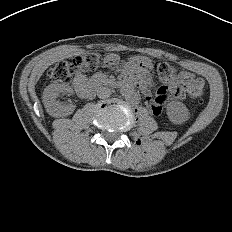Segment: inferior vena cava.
<instances>
[{
  "instance_id": "obj_1",
  "label": "inferior vena cava",
  "mask_w": 232,
  "mask_h": 232,
  "mask_svg": "<svg viewBox=\"0 0 232 232\" xmlns=\"http://www.w3.org/2000/svg\"><path fill=\"white\" fill-rule=\"evenodd\" d=\"M111 95V89L105 86H100L97 88V96L99 98H108Z\"/></svg>"
}]
</instances>
